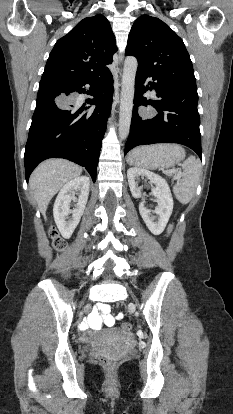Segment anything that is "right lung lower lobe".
I'll list each match as a JSON object with an SVG mask.
<instances>
[{
    "label": "right lung lower lobe",
    "instance_id": "right-lung-lower-lobe-1",
    "mask_svg": "<svg viewBox=\"0 0 233 414\" xmlns=\"http://www.w3.org/2000/svg\"><path fill=\"white\" fill-rule=\"evenodd\" d=\"M57 81V80H53ZM39 86L37 103L25 147L24 164L26 180L43 160L58 157L84 166L93 181L106 131L112 95L113 77L108 71L100 77L78 81H61ZM87 101L95 104L94 110L76 104L77 93H89Z\"/></svg>",
    "mask_w": 233,
    "mask_h": 414
}]
</instances>
